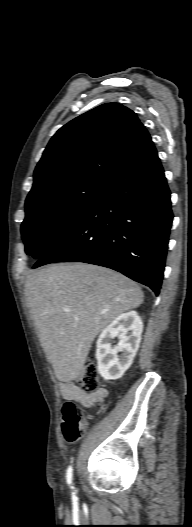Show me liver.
Here are the masks:
<instances>
[{"instance_id":"liver-1","label":"liver","mask_w":192,"mask_h":527,"mask_svg":"<svg viewBox=\"0 0 192 527\" xmlns=\"http://www.w3.org/2000/svg\"><path fill=\"white\" fill-rule=\"evenodd\" d=\"M25 295L44 352L62 382L79 376L95 337L144 297L124 275L83 263L53 264L32 273Z\"/></svg>"}]
</instances>
